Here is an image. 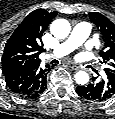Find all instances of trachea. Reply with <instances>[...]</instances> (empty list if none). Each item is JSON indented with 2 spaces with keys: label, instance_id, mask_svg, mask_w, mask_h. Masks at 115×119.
<instances>
[{
  "label": "trachea",
  "instance_id": "1",
  "mask_svg": "<svg viewBox=\"0 0 115 119\" xmlns=\"http://www.w3.org/2000/svg\"><path fill=\"white\" fill-rule=\"evenodd\" d=\"M51 63H58V60L54 59Z\"/></svg>",
  "mask_w": 115,
  "mask_h": 119
}]
</instances>
